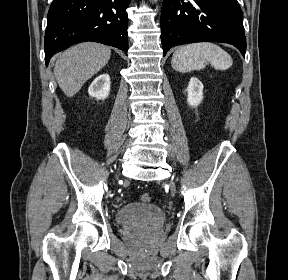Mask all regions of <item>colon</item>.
<instances>
[{"instance_id": "1", "label": "colon", "mask_w": 288, "mask_h": 280, "mask_svg": "<svg viewBox=\"0 0 288 280\" xmlns=\"http://www.w3.org/2000/svg\"><path fill=\"white\" fill-rule=\"evenodd\" d=\"M141 199H142V201H143L144 203H150V202H152V197H151V195L148 194V193L143 194L142 197H141Z\"/></svg>"}]
</instances>
